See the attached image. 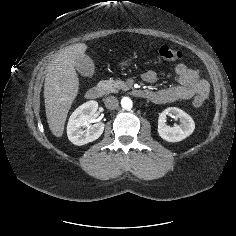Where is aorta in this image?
I'll list each match as a JSON object with an SVG mask.
<instances>
[{
	"label": "aorta",
	"instance_id": "762f6f07",
	"mask_svg": "<svg viewBox=\"0 0 236 236\" xmlns=\"http://www.w3.org/2000/svg\"><path fill=\"white\" fill-rule=\"evenodd\" d=\"M121 105L124 109L129 110L132 108V100L128 97H123L121 100Z\"/></svg>",
	"mask_w": 236,
	"mask_h": 236
}]
</instances>
